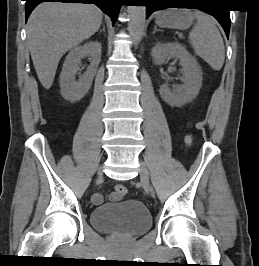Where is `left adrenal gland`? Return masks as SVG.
Here are the masks:
<instances>
[{
	"instance_id": "a2214340",
	"label": "left adrenal gland",
	"mask_w": 259,
	"mask_h": 266,
	"mask_svg": "<svg viewBox=\"0 0 259 266\" xmlns=\"http://www.w3.org/2000/svg\"><path fill=\"white\" fill-rule=\"evenodd\" d=\"M157 31H161V30L157 29V27L155 26L153 33H156Z\"/></svg>"
}]
</instances>
